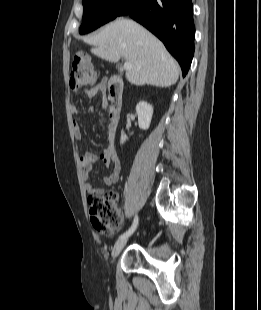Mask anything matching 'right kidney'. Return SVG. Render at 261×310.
I'll return each instance as SVG.
<instances>
[{"label": "right kidney", "instance_id": "ca27d5eb", "mask_svg": "<svg viewBox=\"0 0 261 310\" xmlns=\"http://www.w3.org/2000/svg\"><path fill=\"white\" fill-rule=\"evenodd\" d=\"M136 112L138 115V124L139 128L142 130H147L150 126L152 115H153V107L145 101H141L136 106ZM127 139L126 134L121 132V140L120 143L123 144Z\"/></svg>", "mask_w": 261, "mask_h": 310}]
</instances>
